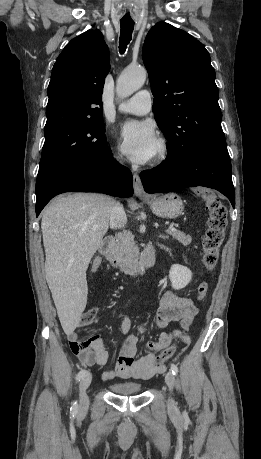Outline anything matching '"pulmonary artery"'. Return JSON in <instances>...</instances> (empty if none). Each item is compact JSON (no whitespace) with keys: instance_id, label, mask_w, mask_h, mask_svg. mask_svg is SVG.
<instances>
[{"instance_id":"pulmonary-artery-1","label":"pulmonary artery","mask_w":261,"mask_h":459,"mask_svg":"<svg viewBox=\"0 0 261 459\" xmlns=\"http://www.w3.org/2000/svg\"><path fill=\"white\" fill-rule=\"evenodd\" d=\"M152 106L151 94L148 90H141L130 99L122 102L118 110L123 113L144 115L148 113Z\"/></svg>"}]
</instances>
